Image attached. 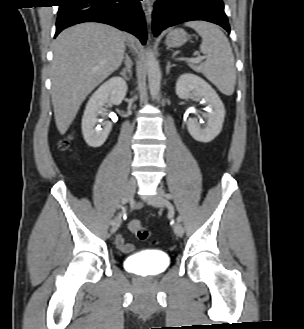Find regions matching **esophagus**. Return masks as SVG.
Returning <instances> with one entry per match:
<instances>
[{"label":"esophagus","instance_id":"obj_1","mask_svg":"<svg viewBox=\"0 0 304 329\" xmlns=\"http://www.w3.org/2000/svg\"><path fill=\"white\" fill-rule=\"evenodd\" d=\"M142 9L145 14L147 22L150 23L151 16H152V10H153V1L152 0H143Z\"/></svg>","mask_w":304,"mask_h":329}]
</instances>
